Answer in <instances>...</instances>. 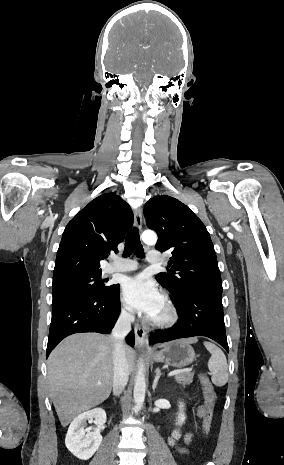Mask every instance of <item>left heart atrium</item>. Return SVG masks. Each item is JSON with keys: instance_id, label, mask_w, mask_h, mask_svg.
I'll use <instances>...</instances> for the list:
<instances>
[{"instance_id": "1", "label": "left heart atrium", "mask_w": 284, "mask_h": 465, "mask_svg": "<svg viewBox=\"0 0 284 465\" xmlns=\"http://www.w3.org/2000/svg\"><path fill=\"white\" fill-rule=\"evenodd\" d=\"M122 301L132 311L149 317L162 304L163 295L153 281L145 275L129 278L122 287Z\"/></svg>"}]
</instances>
